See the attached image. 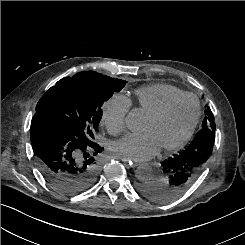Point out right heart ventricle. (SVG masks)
<instances>
[{"label":"right heart ventricle","instance_id":"obj_1","mask_svg":"<svg viewBox=\"0 0 245 245\" xmlns=\"http://www.w3.org/2000/svg\"><path fill=\"white\" fill-rule=\"evenodd\" d=\"M186 94L183 90L167 84H152L135 91L136 102L146 116L171 98Z\"/></svg>","mask_w":245,"mask_h":245}]
</instances>
